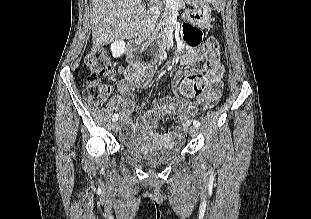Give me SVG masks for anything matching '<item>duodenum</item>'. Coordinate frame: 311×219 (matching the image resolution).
<instances>
[{
    "mask_svg": "<svg viewBox=\"0 0 311 219\" xmlns=\"http://www.w3.org/2000/svg\"><path fill=\"white\" fill-rule=\"evenodd\" d=\"M151 39H152L151 31L147 28H143L141 32L131 41L128 54V60L131 63L136 64L141 62L140 59L142 51L147 52L149 51ZM168 43L169 39L167 36L164 39L161 38L157 43L158 44L157 50H154V52L163 50L165 47L168 46Z\"/></svg>",
    "mask_w": 311,
    "mask_h": 219,
    "instance_id": "obj_1",
    "label": "duodenum"
}]
</instances>
